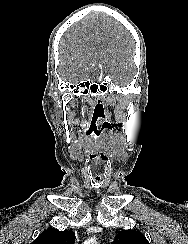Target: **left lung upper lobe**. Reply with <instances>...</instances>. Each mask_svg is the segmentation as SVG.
I'll use <instances>...</instances> for the list:
<instances>
[{
  "label": "left lung upper lobe",
  "instance_id": "obj_1",
  "mask_svg": "<svg viewBox=\"0 0 188 244\" xmlns=\"http://www.w3.org/2000/svg\"><path fill=\"white\" fill-rule=\"evenodd\" d=\"M112 244H149V242L139 231L122 230L117 234Z\"/></svg>",
  "mask_w": 188,
  "mask_h": 244
}]
</instances>
